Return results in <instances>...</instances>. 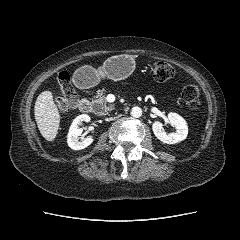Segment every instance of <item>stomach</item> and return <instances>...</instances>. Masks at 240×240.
Returning a JSON list of instances; mask_svg holds the SVG:
<instances>
[{
    "mask_svg": "<svg viewBox=\"0 0 240 240\" xmlns=\"http://www.w3.org/2000/svg\"><path fill=\"white\" fill-rule=\"evenodd\" d=\"M133 71V58L126 55H118L107 59L99 69L83 66L76 71L75 75L87 81L89 85H93L101 77L118 81L127 78Z\"/></svg>",
    "mask_w": 240,
    "mask_h": 240,
    "instance_id": "0dacf381",
    "label": "stomach"
}]
</instances>
